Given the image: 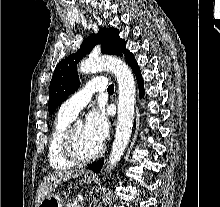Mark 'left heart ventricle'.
<instances>
[{"label": "left heart ventricle", "instance_id": "obj_1", "mask_svg": "<svg viewBox=\"0 0 220 207\" xmlns=\"http://www.w3.org/2000/svg\"><path fill=\"white\" fill-rule=\"evenodd\" d=\"M73 136L76 151L81 157H89L93 155L100 147L85 134L82 125L74 126Z\"/></svg>", "mask_w": 220, "mask_h": 207}]
</instances>
